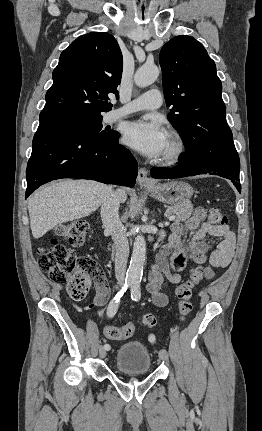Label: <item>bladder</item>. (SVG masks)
Instances as JSON below:
<instances>
[{
  "mask_svg": "<svg viewBox=\"0 0 262 431\" xmlns=\"http://www.w3.org/2000/svg\"><path fill=\"white\" fill-rule=\"evenodd\" d=\"M115 364L123 373L143 375L150 372L151 356L144 342L132 340L118 348Z\"/></svg>",
  "mask_w": 262,
  "mask_h": 431,
  "instance_id": "bladder-1",
  "label": "bladder"
}]
</instances>
